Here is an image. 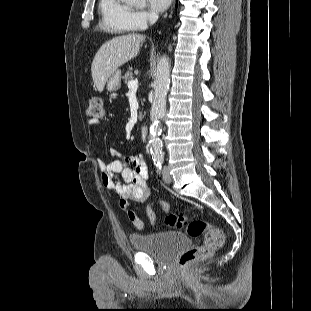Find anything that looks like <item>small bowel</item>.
Returning <instances> with one entry per match:
<instances>
[{
    "instance_id": "c3829d8e",
    "label": "small bowel",
    "mask_w": 311,
    "mask_h": 311,
    "mask_svg": "<svg viewBox=\"0 0 311 311\" xmlns=\"http://www.w3.org/2000/svg\"><path fill=\"white\" fill-rule=\"evenodd\" d=\"M91 126L99 124V121L90 120ZM110 155L115 157L111 161L97 158V165L101 171V182L109 190L114 191L120 198L119 206L125 211L128 219L139 230L144 228V222L130 207L133 203H144L150 196L148 185V167L142 154L126 156L121 152L112 149ZM121 176V180L118 178ZM160 206L168 210L169 206L160 202ZM148 217L152 224H156V216L153 206L147 210Z\"/></svg>"
}]
</instances>
